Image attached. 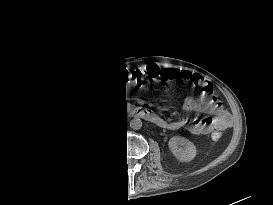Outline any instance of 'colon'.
<instances>
[{
	"label": "colon",
	"instance_id": "5ec220e1",
	"mask_svg": "<svg viewBox=\"0 0 273 205\" xmlns=\"http://www.w3.org/2000/svg\"><path fill=\"white\" fill-rule=\"evenodd\" d=\"M166 78L169 79V77H167V76H166ZM126 80H128V82H130V81H131V78H129V76H128V78H126ZM218 136H219V135H218L217 133L214 134V137H218Z\"/></svg>",
	"mask_w": 273,
	"mask_h": 205
}]
</instances>
